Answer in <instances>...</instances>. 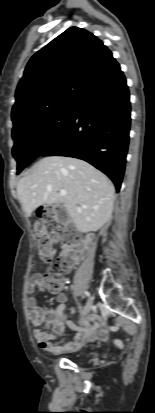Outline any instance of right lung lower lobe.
Returning <instances> with one entry per match:
<instances>
[{
  "label": "right lung lower lobe",
  "instance_id": "98d812e1",
  "mask_svg": "<svg viewBox=\"0 0 155 413\" xmlns=\"http://www.w3.org/2000/svg\"><path fill=\"white\" fill-rule=\"evenodd\" d=\"M130 101L120 68L75 103L63 133L40 156L85 160L120 190L129 145Z\"/></svg>",
  "mask_w": 155,
  "mask_h": 413
}]
</instances>
